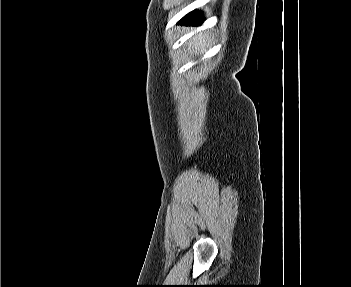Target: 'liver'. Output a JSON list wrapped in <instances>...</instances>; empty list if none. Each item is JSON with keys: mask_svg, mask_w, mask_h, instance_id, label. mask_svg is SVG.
I'll return each mask as SVG.
<instances>
[{"mask_svg": "<svg viewBox=\"0 0 351 287\" xmlns=\"http://www.w3.org/2000/svg\"><path fill=\"white\" fill-rule=\"evenodd\" d=\"M205 40H206V34L199 33L191 39L190 45L194 47L196 50L200 47L201 51L203 52Z\"/></svg>", "mask_w": 351, "mask_h": 287, "instance_id": "1", "label": "liver"}]
</instances>
